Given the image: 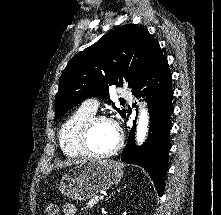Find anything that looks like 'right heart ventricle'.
Wrapping results in <instances>:
<instances>
[{
	"label": "right heart ventricle",
	"instance_id": "right-heart-ventricle-1",
	"mask_svg": "<svg viewBox=\"0 0 221 215\" xmlns=\"http://www.w3.org/2000/svg\"><path fill=\"white\" fill-rule=\"evenodd\" d=\"M94 115L95 113L80 107L62 125L59 132V142L67 156L80 157L85 155L79 142L80 132L86 121Z\"/></svg>",
	"mask_w": 221,
	"mask_h": 215
}]
</instances>
